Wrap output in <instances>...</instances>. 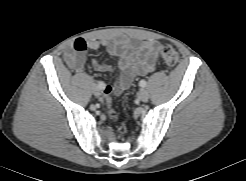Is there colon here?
<instances>
[{
    "instance_id": "colon-1",
    "label": "colon",
    "mask_w": 246,
    "mask_h": 181,
    "mask_svg": "<svg viewBox=\"0 0 246 181\" xmlns=\"http://www.w3.org/2000/svg\"><path fill=\"white\" fill-rule=\"evenodd\" d=\"M161 56H162V59L164 60V62L166 63V65L169 67H174L179 61V54H178L177 50L173 46L168 45V44L163 45L161 47ZM109 95H110L109 89L106 88L104 91V97H105L108 115L111 119H116L117 118V112L112 107L111 99H110Z\"/></svg>"
}]
</instances>
